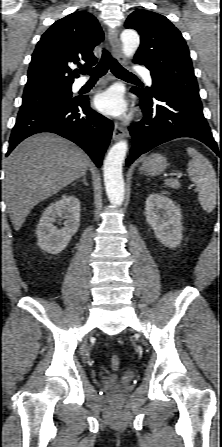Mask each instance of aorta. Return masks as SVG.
I'll return each mask as SVG.
<instances>
[{
  "mask_svg": "<svg viewBox=\"0 0 222 447\" xmlns=\"http://www.w3.org/2000/svg\"><path fill=\"white\" fill-rule=\"evenodd\" d=\"M122 49L125 56L132 58L140 44L136 31L128 29L121 33ZM128 150L127 141L121 140L109 150L103 166L104 184L111 204L122 205L125 195L122 165Z\"/></svg>",
  "mask_w": 222,
  "mask_h": 447,
  "instance_id": "762f6f07",
  "label": "aorta"
}]
</instances>
